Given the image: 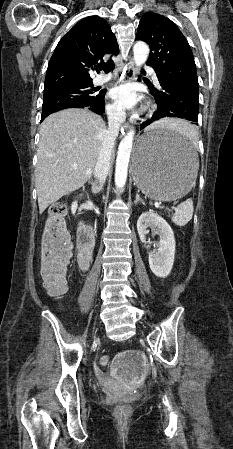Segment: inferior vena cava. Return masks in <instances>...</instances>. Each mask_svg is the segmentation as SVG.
Wrapping results in <instances>:
<instances>
[{"instance_id":"602c4592","label":"inferior vena cava","mask_w":233,"mask_h":449,"mask_svg":"<svg viewBox=\"0 0 233 449\" xmlns=\"http://www.w3.org/2000/svg\"><path fill=\"white\" fill-rule=\"evenodd\" d=\"M124 119L125 113L120 110H112L108 114V130L105 133L102 147L93 172L94 177L102 186L110 170L113 147Z\"/></svg>"}]
</instances>
